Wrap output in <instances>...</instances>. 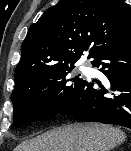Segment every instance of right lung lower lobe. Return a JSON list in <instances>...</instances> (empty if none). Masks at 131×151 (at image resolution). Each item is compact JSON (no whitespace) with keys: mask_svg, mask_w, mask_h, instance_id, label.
<instances>
[{"mask_svg":"<svg viewBox=\"0 0 131 151\" xmlns=\"http://www.w3.org/2000/svg\"><path fill=\"white\" fill-rule=\"evenodd\" d=\"M91 58L108 82L95 89L83 80L59 114L131 129V33L97 49Z\"/></svg>","mask_w":131,"mask_h":151,"instance_id":"right-lung-lower-lobe-1","label":"right lung lower lobe"}]
</instances>
